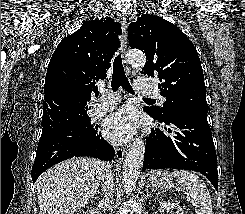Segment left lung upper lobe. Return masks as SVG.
I'll return each instance as SVG.
<instances>
[{
  "label": "left lung upper lobe",
  "mask_w": 245,
  "mask_h": 214,
  "mask_svg": "<svg viewBox=\"0 0 245 214\" xmlns=\"http://www.w3.org/2000/svg\"><path fill=\"white\" fill-rule=\"evenodd\" d=\"M131 48L146 54L142 74L160 80L163 107H145L164 121L194 110L208 111L204 74L197 50L174 24L143 14L128 29Z\"/></svg>",
  "instance_id": "1"
}]
</instances>
